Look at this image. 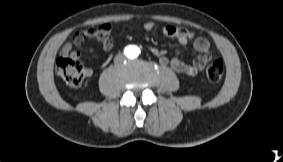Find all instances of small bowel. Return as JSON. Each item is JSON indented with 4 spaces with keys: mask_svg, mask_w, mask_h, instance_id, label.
I'll use <instances>...</instances> for the list:
<instances>
[{
    "mask_svg": "<svg viewBox=\"0 0 283 162\" xmlns=\"http://www.w3.org/2000/svg\"><path fill=\"white\" fill-rule=\"evenodd\" d=\"M156 24L153 21H146L143 23V28L146 31L155 29ZM161 32L169 38L176 39L179 44L185 45L188 42H192L194 49L201 53L198 57L194 58L191 63H187L185 60L179 57L169 58L166 56L164 50H159L155 47L150 48V51L158 57L159 62L173 69L175 72L184 74L186 76H196L199 71L203 70L210 60V44L204 37H194V34L186 28L178 27L174 25H165L161 27ZM111 25L104 23L97 29H90L77 32L71 43H67L61 50L62 56H78L73 51V46H79L82 44L85 38H94L101 43L104 50H110L113 46V41L110 36Z\"/></svg>",
    "mask_w": 283,
    "mask_h": 162,
    "instance_id": "1",
    "label": "small bowel"
}]
</instances>
